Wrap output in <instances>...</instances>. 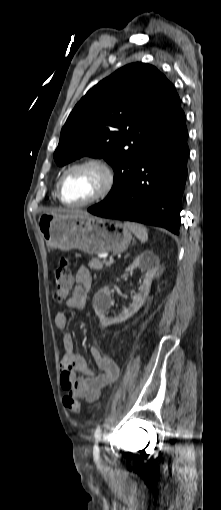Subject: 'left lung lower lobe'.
<instances>
[{"instance_id":"1","label":"left lung lower lobe","mask_w":221,"mask_h":510,"mask_svg":"<svg viewBox=\"0 0 221 510\" xmlns=\"http://www.w3.org/2000/svg\"><path fill=\"white\" fill-rule=\"evenodd\" d=\"M187 128L155 144L128 186L114 199L88 209L91 214L129 220L179 234L181 202L187 178Z\"/></svg>"}]
</instances>
